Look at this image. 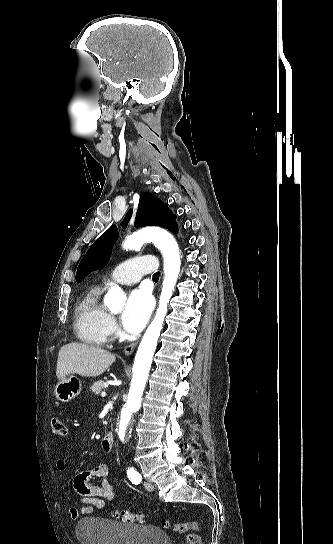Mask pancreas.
Returning <instances> with one entry per match:
<instances>
[{
	"instance_id": "pancreas-1",
	"label": "pancreas",
	"mask_w": 333,
	"mask_h": 544,
	"mask_svg": "<svg viewBox=\"0 0 333 544\" xmlns=\"http://www.w3.org/2000/svg\"><path fill=\"white\" fill-rule=\"evenodd\" d=\"M106 388V383L103 380H99L95 382L91 387L90 390L95 394L98 395L102 390Z\"/></svg>"
}]
</instances>
